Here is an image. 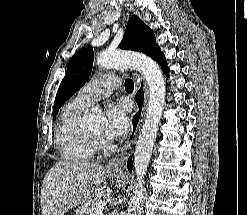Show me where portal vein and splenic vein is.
<instances>
[{
	"instance_id": "1",
	"label": "portal vein and splenic vein",
	"mask_w": 247,
	"mask_h": 215,
	"mask_svg": "<svg viewBox=\"0 0 247 215\" xmlns=\"http://www.w3.org/2000/svg\"><path fill=\"white\" fill-rule=\"evenodd\" d=\"M106 205L105 202H100L96 208L97 215H102V211L104 209V206Z\"/></svg>"
}]
</instances>
